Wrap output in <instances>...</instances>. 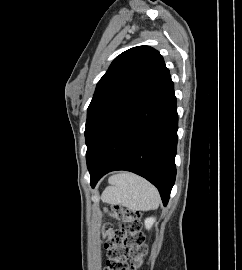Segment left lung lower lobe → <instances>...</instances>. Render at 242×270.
Here are the masks:
<instances>
[{
    "instance_id": "left-lung-lower-lobe-1",
    "label": "left lung lower lobe",
    "mask_w": 242,
    "mask_h": 270,
    "mask_svg": "<svg viewBox=\"0 0 242 270\" xmlns=\"http://www.w3.org/2000/svg\"><path fill=\"white\" fill-rule=\"evenodd\" d=\"M178 115L168 73L107 135L88 167L91 186L114 170L138 174L153 185L166 206L175 182Z\"/></svg>"
}]
</instances>
